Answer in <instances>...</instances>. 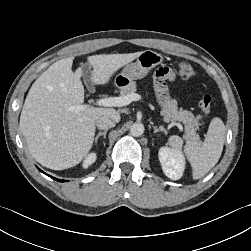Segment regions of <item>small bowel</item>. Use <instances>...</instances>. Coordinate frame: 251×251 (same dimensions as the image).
I'll use <instances>...</instances> for the list:
<instances>
[{
  "label": "small bowel",
  "mask_w": 251,
  "mask_h": 251,
  "mask_svg": "<svg viewBox=\"0 0 251 251\" xmlns=\"http://www.w3.org/2000/svg\"><path fill=\"white\" fill-rule=\"evenodd\" d=\"M175 75L168 68H160L156 71L154 77V87L156 94L160 100H165L167 98V85L166 82L174 81Z\"/></svg>",
  "instance_id": "small-bowel-1"
}]
</instances>
